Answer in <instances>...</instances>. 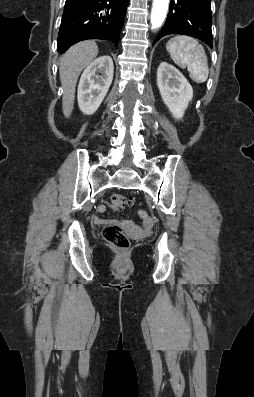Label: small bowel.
Segmentation results:
<instances>
[{"instance_id":"obj_1","label":"small bowel","mask_w":254,"mask_h":397,"mask_svg":"<svg viewBox=\"0 0 254 397\" xmlns=\"http://www.w3.org/2000/svg\"><path fill=\"white\" fill-rule=\"evenodd\" d=\"M105 210H106V206L105 205H99L97 207V211L100 212V213L104 212ZM141 217H142V220H143V226L145 228H148L149 227V220H148L147 216L142 213ZM93 222H94L95 225H98V226L115 223V221L106 220V219H102V218H99V217L93 218ZM127 224H129V223L127 222Z\"/></svg>"}]
</instances>
